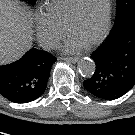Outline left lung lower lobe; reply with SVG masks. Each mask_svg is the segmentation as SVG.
<instances>
[{
	"mask_svg": "<svg viewBox=\"0 0 135 135\" xmlns=\"http://www.w3.org/2000/svg\"><path fill=\"white\" fill-rule=\"evenodd\" d=\"M92 59L96 71L84 81L85 89L106 100L126 94L135 85V19L125 29L112 30Z\"/></svg>",
	"mask_w": 135,
	"mask_h": 135,
	"instance_id": "0a47b994",
	"label": "left lung lower lobe"
}]
</instances>
